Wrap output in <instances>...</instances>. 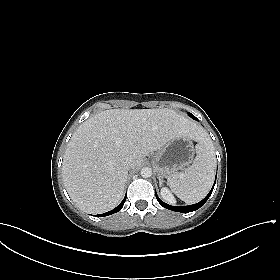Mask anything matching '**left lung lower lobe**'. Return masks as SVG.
<instances>
[{
    "label": "left lung lower lobe",
    "mask_w": 280,
    "mask_h": 280,
    "mask_svg": "<svg viewBox=\"0 0 280 280\" xmlns=\"http://www.w3.org/2000/svg\"><path fill=\"white\" fill-rule=\"evenodd\" d=\"M190 117H192L193 119L197 120V118L195 116H193L192 114L189 115ZM215 183L216 181L214 182V185L211 189V191L209 192V194L200 202L194 204V205H189V206H182V207H175V206H171V205H168L166 203H164L163 201H161L158 196L156 195V198L158 200V202L164 207V208H167L169 210H172V211H176V212H192V211H195L197 209H199L201 206H203L205 204V202L208 200L209 196L211 195L212 191H213V188L215 186Z\"/></svg>",
    "instance_id": "left-lung-lower-lobe-1"
}]
</instances>
